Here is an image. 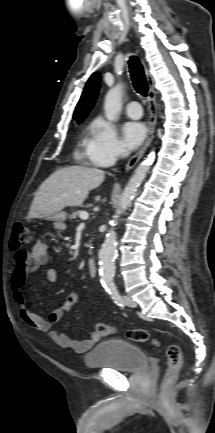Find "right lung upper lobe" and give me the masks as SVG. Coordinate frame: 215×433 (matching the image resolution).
<instances>
[{"label":"right lung upper lobe","instance_id":"right-lung-upper-lobe-1","mask_svg":"<svg viewBox=\"0 0 215 433\" xmlns=\"http://www.w3.org/2000/svg\"><path fill=\"white\" fill-rule=\"evenodd\" d=\"M99 82L100 74L98 72L93 73L85 86L73 115L77 122H82L93 107L99 92Z\"/></svg>","mask_w":215,"mask_h":433}]
</instances>
